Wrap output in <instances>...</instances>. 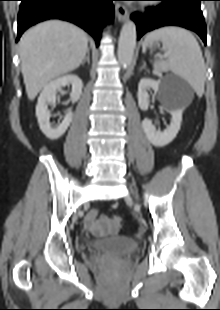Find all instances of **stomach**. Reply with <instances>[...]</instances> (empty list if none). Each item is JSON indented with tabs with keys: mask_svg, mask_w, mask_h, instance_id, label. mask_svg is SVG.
Segmentation results:
<instances>
[{
	"mask_svg": "<svg viewBox=\"0 0 220 310\" xmlns=\"http://www.w3.org/2000/svg\"><path fill=\"white\" fill-rule=\"evenodd\" d=\"M149 48H152L153 47V42H151L149 45H148Z\"/></svg>",
	"mask_w": 220,
	"mask_h": 310,
	"instance_id": "stomach-1",
	"label": "stomach"
}]
</instances>
